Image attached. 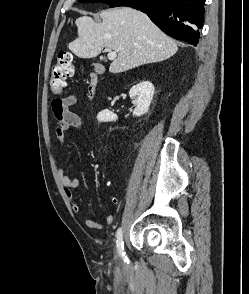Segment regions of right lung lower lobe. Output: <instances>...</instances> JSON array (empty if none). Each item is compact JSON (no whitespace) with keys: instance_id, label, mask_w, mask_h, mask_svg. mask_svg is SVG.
Here are the masks:
<instances>
[{"instance_id":"obj_1","label":"right lung lower lobe","mask_w":249,"mask_h":294,"mask_svg":"<svg viewBox=\"0 0 249 294\" xmlns=\"http://www.w3.org/2000/svg\"><path fill=\"white\" fill-rule=\"evenodd\" d=\"M205 0H123L128 6L146 13L167 35L197 45L203 24Z\"/></svg>"}]
</instances>
